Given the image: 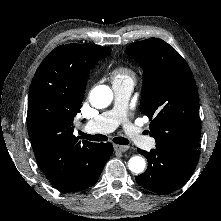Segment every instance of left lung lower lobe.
Wrapping results in <instances>:
<instances>
[{
	"label": "left lung lower lobe",
	"instance_id": "obj_1",
	"mask_svg": "<svg viewBox=\"0 0 221 221\" xmlns=\"http://www.w3.org/2000/svg\"><path fill=\"white\" fill-rule=\"evenodd\" d=\"M148 160L147 170L136 177V182L155 193L166 194L181 187L190 177L198 162L195 149L156 145L150 152L138 149Z\"/></svg>",
	"mask_w": 221,
	"mask_h": 221
}]
</instances>
